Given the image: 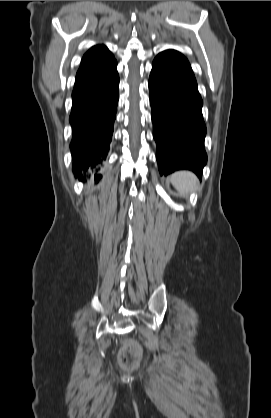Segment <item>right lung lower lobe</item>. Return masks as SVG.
<instances>
[{"label": "right lung lower lobe", "mask_w": 271, "mask_h": 418, "mask_svg": "<svg viewBox=\"0 0 271 418\" xmlns=\"http://www.w3.org/2000/svg\"><path fill=\"white\" fill-rule=\"evenodd\" d=\"M115 59L75 82L72 92L73 173L94 168L105 159L116 118L119 76ZM101 176L95 174V179Z\"/></svg>", "instance_id": "1"}]
</instances>
